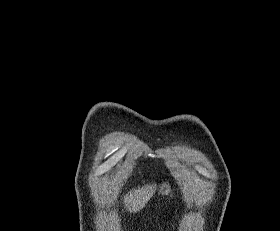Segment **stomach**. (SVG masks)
<instances>
[{"instance_id":"1","label":"stomach","mask_w":280,"mask_h":231,"mask_svg":"<svg viewBox=\"0 0 280 231\" xmlns=\"http://www.w3.org/2000/svg\"><path fill=\"white\" fill-rule=\"evenodd\" d=\"M159 191L162 195H169V193H171V185L169 181H163L160 185Z\"/></svg>"}]
</instances>
